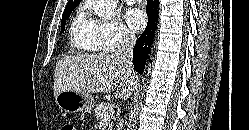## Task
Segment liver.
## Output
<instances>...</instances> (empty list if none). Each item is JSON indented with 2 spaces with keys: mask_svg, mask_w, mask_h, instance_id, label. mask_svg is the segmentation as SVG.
Listing matches in <instances>:
<instances>
[{
  "mask_svg": "<svg viewBox=\"0 0 249 130\" xmlns=\"http://www.w3.org/2000/svg\"><path fill=\"white\" fill-rule=\"evenodd\" d=\"M137 84L136 73L129 72L114 54H77L56 63L54 96L63 91L110 93L126 100Z\"/></svg>",
  "mask_w": 249,
  "mask_h": 130,
  "instance_id": "liver-1",
  "label": "liver"
}]
</instances>
